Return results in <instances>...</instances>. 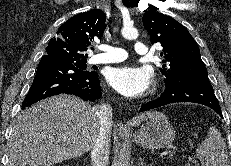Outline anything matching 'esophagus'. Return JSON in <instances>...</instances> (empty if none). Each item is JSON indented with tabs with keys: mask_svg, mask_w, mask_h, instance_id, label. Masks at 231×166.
I'll return each mask as SVG.
<instances>
[{
	"mask_svg": "<svg viewBox=\"0 0 231 166\" xmlns=\"http://www.w3.org/2000/svg\"><path fill=\"white\" fill-rule=\"evenodd\" d=\"M116 130L120 134H127V133H129V129L122 122H120V123L117 124Z\"/></svg>",
	"mask_w": 231,
	"mask_h": 166,
	"instance_id": "34e87169",
	"label": "esophagus"
}]
</instances>
